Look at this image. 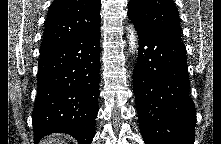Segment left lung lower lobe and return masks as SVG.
<instances>
[{
  "label": "left lung lower lobe",
  "mask_w": 221,
  "mask_h": 144,
  "mask_svg": "<svg viewBox=\"0 0 221 144\" xmlns=\"http://www.w3.org/2000/svg\"><path fill=\"white\" fill-rule=\"evenodd\" d=\"M136 31L133 89L145 144H194L196 110L183 42Z\"/></svg>",
  "instance_id": "obj_1"
}]
</instances>
